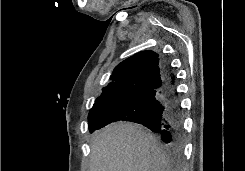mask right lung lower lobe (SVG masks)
I'll return each instance as SVG.
<instances>
[{"label":"right lung lower lobe","instance_id":"1","mask_svg":"<svg viewBox=\"0 0 245 171\" xmlns=\"http://www.w3.org/2000/svg\"><path fill=\"white\" fill-rule=\"evenodd\" d=\"M163 71L165 83L160 89L122 101L94 130L118 120L132 121L158 133L168 146H178L183 132L181 108L174 79L166 62Z\"/></svg>","mask_w":245,"mask_h":171}]
</instances>
